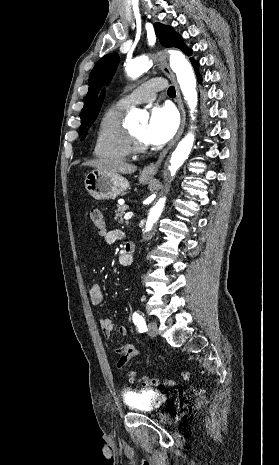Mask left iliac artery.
<instances>
[{
	"label": "left iliac artery",
	"instance_id": "obj_1",
	"mask_svg": "<svg viewBox=\"0 0 279 465\" xmlns=\"http://www.w3.org/2000/svg\"><path fill=\"white\" fill-rule=\"evenodd\" d=\"M133 322L137 326L140 333H144L147 331L145 319L141 314L135 312L133 314Z\"/></svg>",
	"mask_w": 279,
	"mask_h": 465
}]
</instances>
